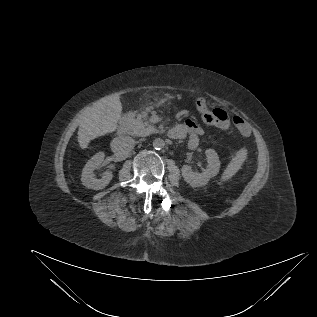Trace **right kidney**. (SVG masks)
<instances>
[{"mask_svg": "<svg viewBox=\"0 0 317 317\" xmlns=\"http://www.w3.org/2000/svg\"><path fill=\"white\" fill-rule=\"evenodd\" d=\"M104 157L105 154L103 152H99L94 155L84 166L81 181L83 185L86 186L88 189H103L112 180L113 175L110 171H105L102 174L101 179H97L94 177L93 171L101 167Z\"/></svg>", "mask_w": 317, "mask_h": 317, "instance_id": "obj_1", "label": "right kidney"}]
</instances>
